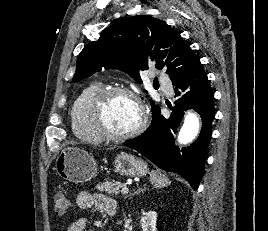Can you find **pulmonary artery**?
Wrapping results in <instances>:
<instances>
[{"label":"pulmonary artery","instance_id":"pulmonary-artery-1","mask_svg":"<svg viewBox=\"0 0 268 231\" xmlns=\"http://www.w3.org/2000/svg\"><path fill=\"white\" fill-rule=\"evenodd\" d=\"M159 79H162V76H159ZM162 89L166 95H168V96L173 95V86L171 83H163Z\"/></svg>","mask_w":268,"mask_h":231}]
</instances>
